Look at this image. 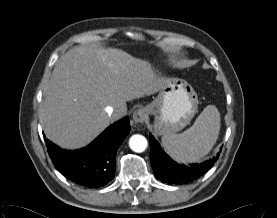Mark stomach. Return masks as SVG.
<instances>
[{"instance_id":"1","label":"stomach","mask_w":277,"mask_h":218,"mask_svg":"<svg viewBox=\"0 0 277 218\" xmlns=\"http://www.w3.org/2000/svg\"><path fill=\"white\" fill-rule=\"evenodd\" d=\"M198 97L192 86L180 78L165 79L158 96L147 106L155 116L154 131L172 135L190 124L198 108Z\"/></svg>"}]
</instances>
